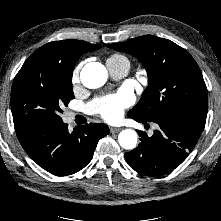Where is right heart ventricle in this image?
<instances>
[{
	"label": "right heart ventricle",
	"mask_w": 221,
	"mask_h": 221,
	"mask_svg": "<svg viewBox=\"0 0 221 221\" xmlns=\"http://www.w3.org/2000/svg\"><path fill=\"white\" fill-rule=\"evenodd\" d=\"M108 60L114 61V62L126 61L129 63L128 59L121 54H113L108 58Z\"/></svg>",
	"instance_id": "1"
}]
</instances>
